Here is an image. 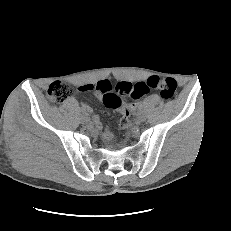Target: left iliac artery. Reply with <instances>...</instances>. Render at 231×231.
I'll list each match as a JSON object with an SVG mask.
<instances>
[{
    "label": "left iliac artery",
    "instance_id": "44dca946",
    "mask_svg": "<svg viewBox=\"0 0 231 231\" xmlns=\"http://www.w3.org/2000/svg\"><path fill=\"white\" fill-rule=\"evenodd\" d=\"M137 110L138 111H143L144 110V105L143 104H138L137 105Z\"/></svg>",
    "mask_w": 231,
    "mask_h": 231
}]
</instances>
